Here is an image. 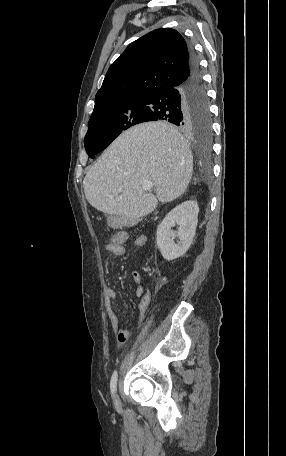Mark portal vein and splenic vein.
I'll return each instance as SVG.
<instances>
[{"label": "portal vein and splenic vein", "mask_w": 286, "mask_h": 456, "mask_svg": "<svg viewBox=\"0 0 286 456\" xmlns=\"http://www.w3.org/2000/svg\"><path fill=\"white\" fill-rule=\"evenodd\" d=\"M153 186H154V183L150 180H146L142 183V188L145 191L151 190Z\"/></svg>", "instance_id": "18ae733b"}]
</instances>
